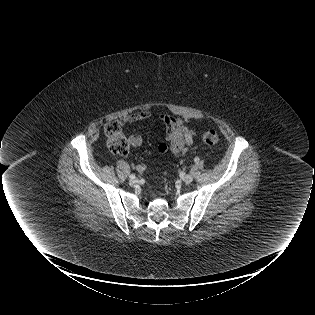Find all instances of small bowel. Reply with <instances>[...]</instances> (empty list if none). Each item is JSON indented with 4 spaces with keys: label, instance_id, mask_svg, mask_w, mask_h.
<instances>
[{
    "label": "small bowel",
    "instance_id": "1",
    "mask_svg": "<svg viewBox=\"0 0 315 315\" xmlns=\"http://www.w3.org/2000/svg\"><path fill=\"white\" fill-rule=\"evenodd\" d=\"M151 118L159 119L165 126L164 142L158 145V152L161 154L170 153L174 156L185 155L193 145L197 133L181 118L168 113L154 114L150 111H139L123 117L122 123H134ZM142 142L143 139L138 134L129 136V143L134 148L139 147ZM135 169L142 173L146 170V165L143 163L136 164Z\"/></svg>",
    "mask_w": 315,
    "mask_h": 315
}]
</instances>
